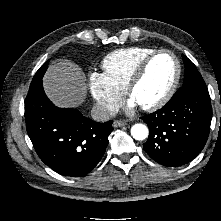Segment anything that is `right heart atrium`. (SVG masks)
Masks as SVG:
<instances>
[{
    "instance_id": "d8ad5b80",
    "label": "right heart atrium",
    "mask_w": 221,
    "mask_h": 221,
    "mask_svg": "<svg viewBox=\"0 0 221 221\" xmlns=\"http://www.w3.org/2000/svg\"><path fill=\"white\" fill-rule=\"evenodd\" d=\"M89 90L103 115L115 112L123 98V91L105 73L93 72L89 75Z\"/></svg>"
}]
</instances>
